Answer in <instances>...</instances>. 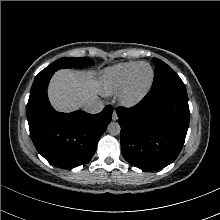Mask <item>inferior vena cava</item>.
<instances>
[{
    "mask_svg": "<svg viewBox=\"0 0 220 220\" xmlns=\"http://www.w3.org/2000/svg\"><path fill=\"white\" fill-rule=\"evenodd\" d=\"M104 108V103L100 100H93L87 103L84 110L90 114L100 113Z\"/></svg>",
    "mask_w": 220,
    "mask_h": 220,
    "instance_id": "602c4592",
    "label": "inferior vena cava"
}]
</instances>
